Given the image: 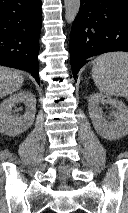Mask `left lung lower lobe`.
Returning a JSON list of instances; mask_svg holds the SVG:
<instances>
[{
    "mask_svg": "<svg viewBox=\"0 0 128 213\" xmlns=\"http://www.w3.org/2000/svg\"><path fill=\"white\" fill-rule=\"evenodd\" d=\"M112 51H128V0H81L70 38L74 78L87 58Z\"/></svg>",
    "mask_w": 128,
    "mask_h": 213,
    "instance_id": "left-lung-lower-lobe-1",
    "label": "left lung lower lobe"
}]
</instances>
